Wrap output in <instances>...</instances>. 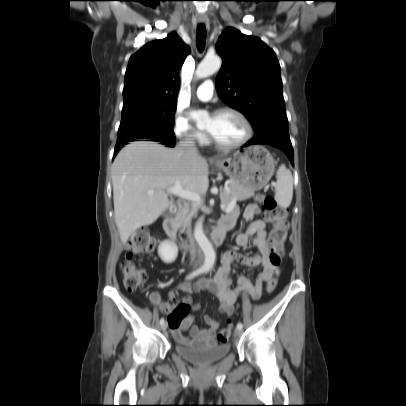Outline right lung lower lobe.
I'll use <instances>...</instances> for the list:
<instances>
[{"label":"right lung lower lobe","mask_w":406,"mask_h":406,"mask_svg":"<svg viewBox=\"0 0 406 406\" xmlns=\"http://www.w3.org/2000/svg\"><path fill=\"white\" fill-rule=\"evenodd\" d=\"M155 141L161 142V144L166 145L167 147H174V145H175V138H162V139H158ZM125 144H127V143H125ZM125 144H116V147L114 150V157Z\"/></svg>","instance_id":"1"}]
</instances>
